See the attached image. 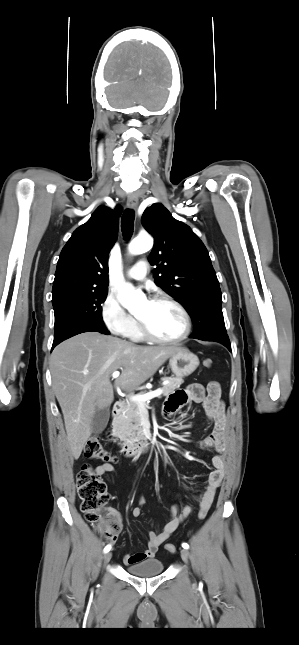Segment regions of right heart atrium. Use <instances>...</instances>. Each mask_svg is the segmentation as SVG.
<instances>
[{"label": "right heart atrium", "instance_id": "d8ad5b80", "mask_svg": "<svg viewBox=\"0 0 299 645\" xmlns=\"http://www.w3.org/2000/svg\"><path fill=\"white\" fill-rule=\"evenodd\" d=\"M101 319L105 328L117 336H127L135 323L134 318L112 294H108L101 305Z\"/></svg>", "mask_w": 299, "mask_h": 645}]
</instances>
